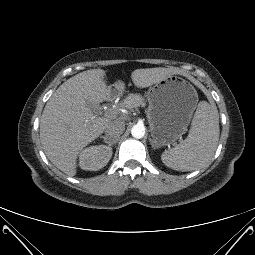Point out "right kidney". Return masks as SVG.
<instances>
[{"mask_svg":"<svg viewBox=\"0 0 255 255\" xmlns=\"http://www.w3.org/2000/svg\"><path fill=\"white\" fill-rule=\"evenodd\" d=\"M112 149L105 145L90 146L79 155V166L83 170L97 171L107 165Z\"/></svg>","mask_w":255,"mask_h":255,"instance_id":"right-kidney-1","label":"right kidney"}]
</instances>
